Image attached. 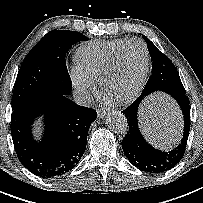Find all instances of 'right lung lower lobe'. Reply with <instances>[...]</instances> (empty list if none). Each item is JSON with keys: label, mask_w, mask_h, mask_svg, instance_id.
Masks as SVG:
<instances>
[{"label": "right lung lower lobe", "mask_w": 203, "mask_h": 203, "mask_svg": "<svg viewBox=\"0 0 203 203\" xmlns=\"http://www.w3.org/2000/svg\"><path fill=\"white\" fill-rule=\"evenodd\" d=\"M42 114L45 131L42 141L36 142L31 125ZM96 117L94 109L77 105L63 94L42 96L13 110L11 134L19 161L42 178L64 175L79 163Z\"/></svg>", "instance_id": "right-lung-lower-lobe-1"}]
</instances>
